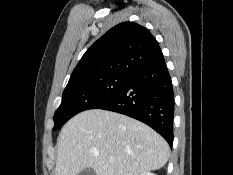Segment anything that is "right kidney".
Masks as SVG:
<instances>
[{"label": "right kidney", "mask_w": 233, "mask_h": 175, "mask_svg": "<svg viewBox=\"0 0 233 175\" xmlns=\"http://www.w3.org/2000/svg\"><path fill=\"white\" fill-rule=\"evenodd\" d=\"M141 175H156V174H153V173H150V172H145V173H143Z\"/></svg>", "instance_id": "ca27d5eb"}]
</instances>
